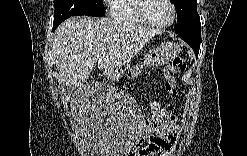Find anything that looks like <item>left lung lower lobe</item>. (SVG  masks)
<instances>
[{
  "label": "left lung lower lobe",
  "mask_w": 247,
  "mask_h": 156,
  "mask_svg": "<svg viewBox=\"0 0 247 156\" xmlns=\"http://www.w3.org/2000/svg\"><path fill=\"white\" fill-rule=\"evenodd\" d=\"M185 42H187L198 56L200 48L201 24L192 26L184 32H176Z\"/></svg>",
  "instance_id": "0a47b994"
}]
</instances>
